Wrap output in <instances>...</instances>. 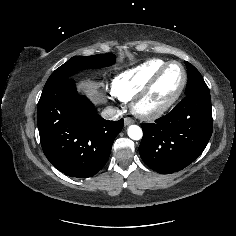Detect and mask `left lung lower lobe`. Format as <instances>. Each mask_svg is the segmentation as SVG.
<instances>
[{"mask_svg": "<svg viewBox=\"0 0 236 236\" xmlns=\"http://www.w3.org/2000/svg\"><path fill=\"white\" fill-rule=\"evenodd\" d=\"M139 146L152 170L171 174L187 167L205 149L213 130L209 90L192 92L155 123H143Z\"/></svg>", "mask_w": 236, "mask_h": 236, "instance_id": "0a47b994", "label": "left lung lower lobe"}]
</instances>
